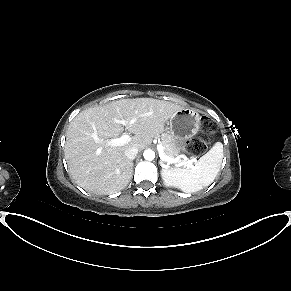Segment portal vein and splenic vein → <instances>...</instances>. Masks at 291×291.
Returning <instances> with one entry per match:
<instances>
[{"mask_svg":"<svg viewBox=\"0 0 291 291\" xmlns=\"http://www.w3.org/2000/svg\"><path fill=\"white\" fill-rule=\"evenodd\" d=\"M117 122L120 124H123V125L126 124V121H124V120H117ZM92 137H93V139H98V136L96 133H94L92 135ZM129 141H130V136L128 134H123L120 138L111 139L109 144L112 146H119V145L125 144ZM157 150L159 152L160 158L166 160L169 163H176V162H179V160H180L179 158L174 159V158L165 156L163 147L160 144L157 145ZM194 161H195L194 159L188 160V161L184 162L183 164H187V166L191 167L192 162H194Z\"/></svg>","mask_w":291,"mask_h":291,"instance_id":"18ae733b","label":"portal vein and splenic vein"}]
</instances>
